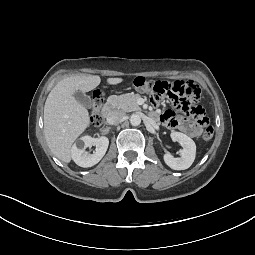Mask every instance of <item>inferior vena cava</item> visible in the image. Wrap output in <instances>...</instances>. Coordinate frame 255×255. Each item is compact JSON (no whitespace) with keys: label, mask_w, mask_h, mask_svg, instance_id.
Segmentation results:
<instances>
[{"label":"inferior vena cava","mask_w":255,"mask_h":255,"mask_svg":"<svg viewBox=\"0 0 255 255\" xmlns=\"http://www.w3.org/2000/svg\"><path fill=\"white\" fill-rule=\"evenodd\" d=\"M125 113L123 111H113L111 112L108 117H107V122L110 124V125H113V124H116V123H119L121 121H123V119L125 118Z\"/></svg>","instance_id":"602c4592"}]
</instances>
